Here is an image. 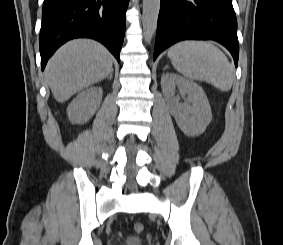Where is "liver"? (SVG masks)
I'll list each match as a JSON object with an SVG mask.
<instances>
[{
	"label": "liver",
	"mask_w": 283,
	"mask_h": 245,
	"mask_svg": "<svg viewBox=\"0 0 283 245\" xmlns=\"http://www.w3.org/2000/svg\"><path fill=\"white\" fill-rule=\"evenodd\" d=\"M112 56L100 43L76 39L63 45L48 61L45 75L56 101L105 79L112 71Z\"/></svg>",
	"instance_id": "liver-1"
}]
</instances>
